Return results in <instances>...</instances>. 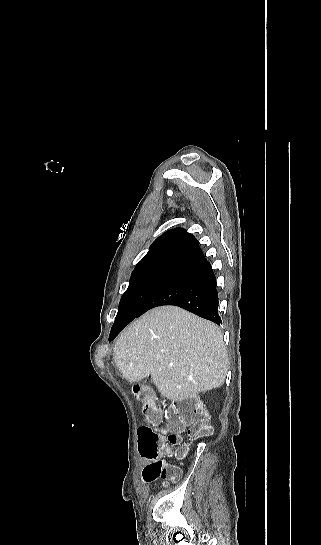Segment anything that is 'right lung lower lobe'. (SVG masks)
Instances as JSON below:
<instances>
[{
  "label": "right lung lower lobe",
  "mask_w": 321,
  "mask_h": 545,
  "mask_svg": "<svg viewBox=\"0 0 321 545\" xmlns=\"http://www.w3.org/2000/svg\"><path fill=\"white\" fill-rule=\"evenodd\" d=\"M218 303L215 274L201 252L175 269L135 316L123 322H114L109 340H113L133 319L162 305L179 306L220 325Z\"/></svg>",
  "instance_id": "obj_1"
}]
</instances>
